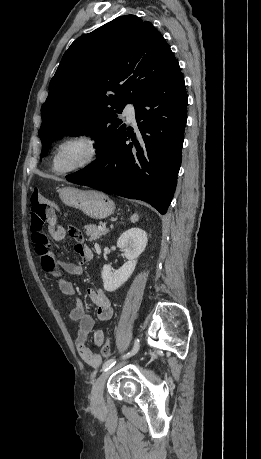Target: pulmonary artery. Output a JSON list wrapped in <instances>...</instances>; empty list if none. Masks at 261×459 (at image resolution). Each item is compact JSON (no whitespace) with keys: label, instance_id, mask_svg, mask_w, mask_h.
I'll return each mask as SVG.
<instances>
[{"label":"pulmonary artery","instance_id":"obj_1","mask_svg":"<svg viewBox=\"0 0 261 459\" xmlns=\"http://www.w3.org/2000/svg\"><path fill=\"white\" fill-rule=\"evenodd\" d=\"M123 114L126 116L127 120L133 122L135 120V108L132 104H127L123 110Z\"/></svg>","mask_w":261,"mask_h":459}]
</instances>
